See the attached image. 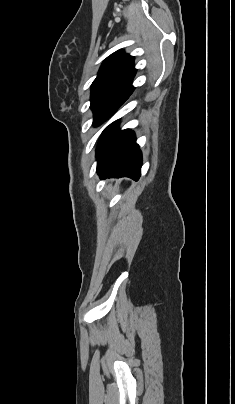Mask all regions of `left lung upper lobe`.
I'll return each instance as SVG.
<instances>
[{"label": "left lung upper lobe", "instance_id": "1", "mask_svg": "<svg viewBox=\"0 0 235 404\" xmlns=\"http://www.w3.org/2000/svg\"><path fill=\"white\" fill-rule=\"evenodd\" d=\"M136 69L134 57L119 50L102 64L91 85V105L94 126L108 119L131 95Z\"/></svg>", "mask_w": 235, "mask_h": 404}]
</instances>
